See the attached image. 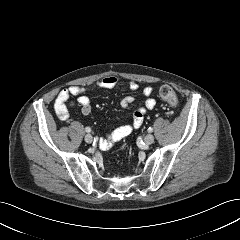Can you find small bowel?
Here are the masks:
<instances>
[{
    "label": "small bowel",
    "mask_w": 240,
    "mask_h": 240,
    "mask_svg": "<svg viewBox=\"0 0 240 240\" xmlns=\"http://www.w3.org/2000/svg\"><path fill=\"white\" fill-rule=\"evenodd\" d=\"M118 83L119 81L116 77L106 76L90 88L112 89L117 87ZM127 88L131 91H136L139 89V85L135 81H130ZM88 89L89 88L83 86H71L62 90L54 103V109L58 117L63 120L68 118V113L65 109L64 103L70 95L78 97V103L82 114L86 116L89 115L92 111V107L90 98L85 95ZM152 91L153 88L151 86L144 87L143 95L146 97L144 105L134 111L132 120L129 124L122 125L114 129L106 136L105 139L100 141V146L102 148L110 147L114 142L120 141L128 136L132 131L139 129L142 126L146 111L153 109L155 106V100L151 97ZM134 100V97L126 96L121 100L120 104L123 108H128L132 103H134Z\"/></svg>",
    "instance_id": "obj_1"
}]
</instances>
